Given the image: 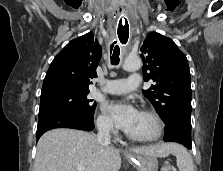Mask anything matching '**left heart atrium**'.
Here are the masks:
<instances>
[{"mask_svg": "<svg viewBox=\"0 0 223 171\" xmlns=\"http://www.w3.org/2000/svg\"><path fill=\"white\" fill-rule=\"evenodd\" d=\"M106 112L111 116L116 126L128 132L134 124L139 112L127 102H109L105 105Z\"/></svg>", "mask_w": 223, "mask_h": 171, "instance_id": "left-heart-atrium-1", "label": "left heart atrium"}]
</instances>
